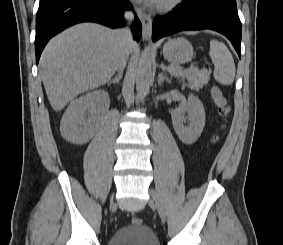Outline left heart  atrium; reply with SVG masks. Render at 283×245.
I'll use <instances>...</instances> for the list:
<instances>
[{
  "label": "left heart atrium",
  "mask_w": 283,
  "mask_h": 245,
  "mask_svg": "<svg viewBox=\"0 0 283 245\" xmlns=\"http://www.w3.org/2000/svg\"><path fill=\"white\" fill-rule=\"evenodd\" d=\"M140 1H151V2H156L157 0H140Z\"/></svg>",
  "instance_id": "obj_1"
}]
</instances>
